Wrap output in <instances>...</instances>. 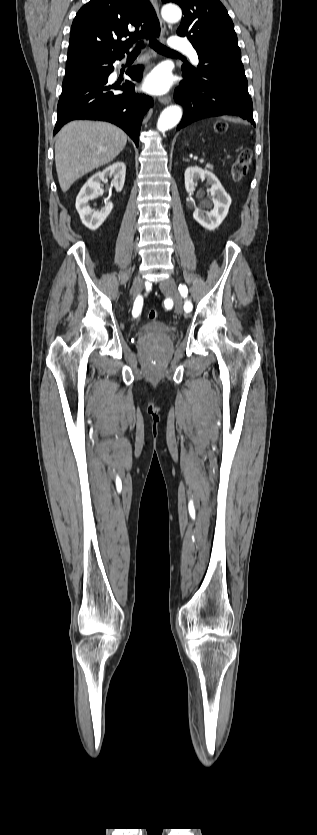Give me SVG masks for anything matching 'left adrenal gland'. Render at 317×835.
Returning <instances> with one entry per match:
<instances>
[{
    "label": "left adrenal gland",
    "mask_w": 317,
    "mask_h": 835,
    "mask_svg": "<svg viewBox=\"0 0 317 835\" xmlns=\"http://www.w3.org/2000/svg\"><path fill=\"white\" fill-rule=\"evenodd\" d=\"M183 161H189L188 159L183 158Z\"/></svg>",
    "instance_id": "1"
}]
</instances>
